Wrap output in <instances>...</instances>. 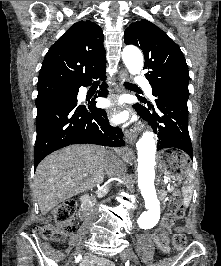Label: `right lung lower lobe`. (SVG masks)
Masks as SVG:
<instances>
[{"mask_svg":"<svg viewBox=\"0 0 221 266\" xmlns=\"http://www.w3.org/2000/svg\"><path fill=\"white\" fill-rule=\"evenodd\" d=\"M94 78L105 79V72ZM91 81L80 86H88ZM80 86L74 93L57 98L37 110L34 169L48 154L71 144L124 145L121 130L109 125L105 110L95 107V98L105 96L106 90L101 88L92 101L79 105L77 94Z\"/></svg>","mask_w":221,"mask_h":266,"instance_id":"1","label":"right lung lower lobe"}]
</instances>
